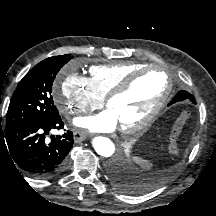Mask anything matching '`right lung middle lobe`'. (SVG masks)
I'll use <instances>...</instances> for the list:
<instances>
[{
	"label": "right lung middle lobe",
	"instance_id": "right-lung-middle-lobe-1",
	"mask_svg": "<svg viewBox=\"0 0 216 216\" xmlns=\"http://www.w3.org/2000/svg\"><path fill=\"white\" fill-rule=\"evenodd\" d=\"M70 59L72 57L69 54L49 57L24 76L10 100L5 127L59 116L51 95L52 85L59 70Z\"/></svg>",
	"mask_w": 216,
	"mask_h": 216
}]
</instances>
